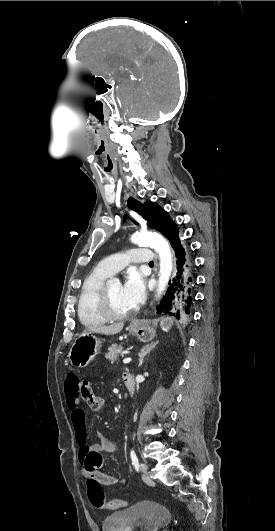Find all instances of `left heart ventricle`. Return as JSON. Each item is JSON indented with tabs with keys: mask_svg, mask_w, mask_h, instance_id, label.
Masks as SVG:
<instances>
[{
	"mask_svg": "<svg viewBox=\"0 0 275 531\" xmlns=\"http://www.w3.org/2000/svg\"><path fill=\"white\" fill-rule=\"evenodd\" d=\"M108 290L110 292V300L113 310L118 314L130 312L133 308L127 303L122 285L119 281H109Z\"/></svg>",
	"mask_w": 275,
	"mask_h": 531,
	"instance_id": "left-heart-ventricle-1",
	"label": "left heart ventricle"
}]
</instances>
